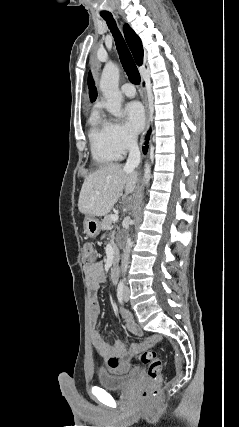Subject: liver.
Listing matches in <instances>:
<instances>
[{"label":"liver","instance_id":"obj_1","mask_svg":"<svg viewBox=\"0 0 239 427\" xmlns=\"http://www.w3.org/2000/svg\"><path fill=\"white\" fill-rule=\"evenodd\" d=\"M137 181V173L124 165L105 164L85 178L78 209L86 215L105 216L117 203L124 188L126 194L134 192Z\"/></svg>","mask_w":239,"mask_h":427}]
</instances>
